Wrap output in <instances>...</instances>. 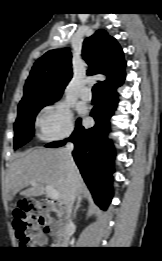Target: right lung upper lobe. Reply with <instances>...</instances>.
Listing matches in <instances>:
<instances>
[{
	"instance_id": "obj_1",
	"label": "right lung upper lobe",
	"mask_w": 162,
	"mask_h": 261,
	"mask_svg": "<svg viewBox=\"0 0 162 261\" xmlns=\"http://www.w3.org/2000/svg\"><path fill=\"white\" fill-rule=\"evenodd\" d=\"M82 57L89 66L87 75L104 74L101 91L122 85L125 79L126 62L116 39L99 29L83 42ZM71 52L69 48L54 49L39 58L24 87L22 100L35 96H60L72 78ZM21 100V101H22Z\"/></svg>"
}]
</instances>
